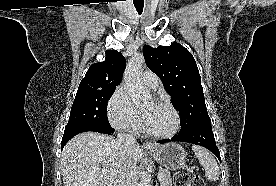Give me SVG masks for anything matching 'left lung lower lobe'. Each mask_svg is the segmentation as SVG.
Returning a JSON list of instances; mask_svg holds the SVG:
<instances>
[{
  "label": "left lung lower lobe",
  "instance_id": "left-lung-lower-lobe-1",
  "mask_svg": "<svg viewBox=\"0 0 276 186\" xmlns=\"http://www.w3.org/2000/svg\"><path fill=\"white\" fill-rule=\"evenodd\" d=\"M171 141L187 142L203 146L209 149L211 152H213L221 162L220 152L215 143V138L212 132L211 124L198 125L186 132L179 133L177 136L171 139L159 140L158 143H166Z\"/></svg>",
  "mask_w": 276,
  "mask_h": 186
}]
</instances>
